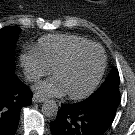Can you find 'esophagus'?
Instances as JSON below:
<instances>
[{
    "label": "esophagus",
    "instance_id": "obj_1",
    "mask_svg": "<svg viewBox=\"0 0 135 135\" xmlns=\"http://www.w3.org/2000/svg\"><path fill=\"white\" fill-rule=\"evenodd\" d=\"M32 100L35 103H40V102H44L46 100V98L42 97V96H39L37 94H34Z\"/></svg>",
    "mask_w": 135,
    "mask_h": 135
}]
</instances>
